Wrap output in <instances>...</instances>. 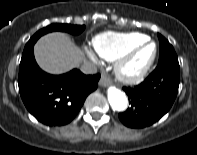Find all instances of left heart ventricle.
<instances>
[{
  "label": "left heart ventricle",
  "instance_id": "1",
  "mask_svg": "<svg viewBox=\"0 0 197 155\" xmlns=\"http://www.w3.org/2000/svg\"><path fill=\"white\" fill-rule=\"evenodd\" d=\"M153 47L152 46H146L142 50H140L135 57L132 59L130 63V68L132 69H138L141 66H143L151 56Z\"/></svg>",
  "mask_w": 197,
  "mask_h": 155
}]
</instances>
